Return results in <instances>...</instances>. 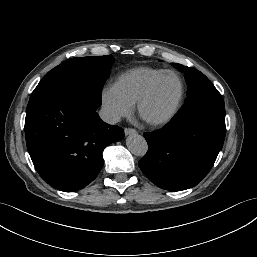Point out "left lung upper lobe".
Here are the masks:
<instances>
[{"instance_id": "1", "label": "left lung upper lobe", "mask_w": 257, "mask_h": 257, "mask_svg": "<svg viewBox=\"0 0 257 257\" xmlns=\"http://www.w3.org/2000/svg\"><path fill=\"white\" fill-rule=\"evenodd\" d=\"M172 65L179 71L185 72V78L188 84L187 98L181 109L187 110L208 101L223 99L214 85L200 71L181 64L172 63Z\"/></svg>"}]
</instances>
